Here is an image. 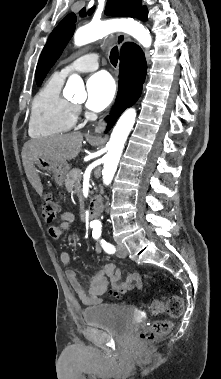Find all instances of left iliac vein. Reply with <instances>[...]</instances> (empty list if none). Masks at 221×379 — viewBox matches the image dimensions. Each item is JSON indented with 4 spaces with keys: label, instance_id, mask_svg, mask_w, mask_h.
<instances>
[{
    "label": "left iliac vein",
    "instance_id": "1",
    "mask_svg": "<svg viewBox=\"0 0 221 379\" xmlns=\"http://www.w3.org/2000/svg\"><path fill=\"white\" fill-rule=\"evenodd\" d=\"M117 255L121 258H125L127 256V249L124 244H117Z\"/></svg>",
    "mask_w": 221,
    "mask_h": 379
}]
</instances>
